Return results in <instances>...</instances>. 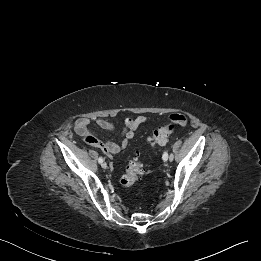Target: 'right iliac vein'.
Returning <instances> with one entry per match:
<instances>
[{
	"label": "right iliac vein",
	"instance_id": "right-iliac-vein-1",
	"mask_svg": "<svg viewBox=\"0 0 261 261\" xmlns=\"http://www.w3.org/2000/svg\"><path fill=\"white\" fill-rule=\"evenodd\" d=\"M101 167H102L103 169H106V168H107L106 162H102V163H101Z\"/></svg>",
	"mask_w": 261,
	"mask_h": 261
}]
</instances>
